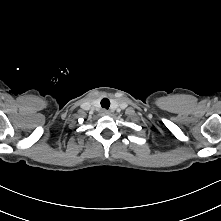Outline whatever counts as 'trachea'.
Here are the masks:
<instances>
[{
    "instance_id": "obj_1",
    "label": "trachea",
    "mask_w": 221,
    "mask_h": 221,
    "mask_svg": "<svg viewBox=\"0 0 221 221\" xmlns=\"http://www.w3.org/2000/svg\"><path fill=\"white\" fill-rule=\"evenodd\" d=\"M101 106L102 108L108 109L110 107V101L107 98H103L101 100Z\"/></svg>"
}]
</instances>
